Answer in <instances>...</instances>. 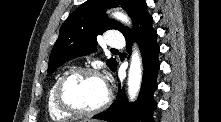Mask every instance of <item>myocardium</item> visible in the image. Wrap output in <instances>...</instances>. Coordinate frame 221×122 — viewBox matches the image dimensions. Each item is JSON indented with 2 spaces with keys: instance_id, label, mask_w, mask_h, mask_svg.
I'll use <instances>...</instances> for the list:
<instances>
[{
  "instance_id": "1",
  "label": "myocardium",
  "mask_w": 221,
  "mask_h": 122,
  "mask_svg": "<svg viewBox=\"0 0 221 122\" xmlns=\"http://www.w3.org/2000/svg\"><path fill=\"white\" fill-rule=\"evenodd\" d=\"M82 74H90V75L97 76L105 83L104 76L100 73V71L91 67H77L63 74L61 78L58 80L57 85L55 87V93H54L55 103L61 111L67 114H70L71 116L86 117V116H93L95 114H98L108 107L112 98L111 91L105 83L106 96L103 102L99 106L93 109L85 110V109H80L70 104L65 98V92H64L65 87L70 80Z\"/></svg>"
}]
</instances>
